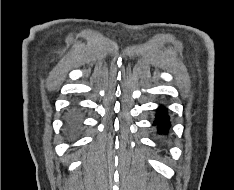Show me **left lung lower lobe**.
Wrapping results in <instances>:
<instances>
[{
	"mask_svg": "<svg viewBox=\"0 0 234 190\" xmlns=\"http://www.w3.org/2000/svg\"><path fill=\"white\" fill-rule=\"evenodd\" d=\"M153 125L157 126L159 134H165L168 132L170 128V118L165 107H159L157 109V114Z\"/></svg>",
	"mask_w": 234,
	"mask_h": 190,
	"instance_id": "0a47b994",
	"label": "left lung lower lobe"
}]
</instances>
